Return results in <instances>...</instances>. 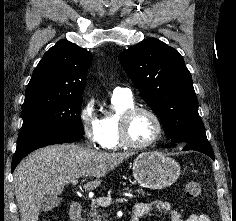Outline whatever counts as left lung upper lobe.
<instances>
[{
	"instance_id": "5c2ea615",
	"label": "left lung upper lobe",
	"mask_w": 236,
	"mask_h": 221,
	"mask_svg": "<svg viewBox=\"0 0 236 221\" xmlns=\"http://www.w3.org/2000/svg\"><path fill=\"white\" fill-rule=\"evenodd\" d=\"M144 101L161 118L165 135L176 143L207 140L189 70L180 53L146 39L119 55Z\"/></svg>"
}]
</instances>
